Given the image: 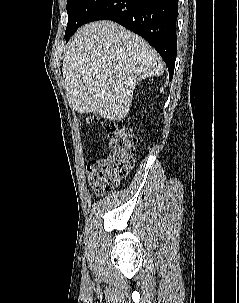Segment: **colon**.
<instances>
[{
  "label": "colon",
  "instance_id": "5ec220e1",
  "mask_svg": "<svg viewBox=\"0 0 239 303\" xmlns=\"http://www.w3.org/2000/svg\"><path fill=\"white\" fill-rule=\"evenodd\" d=\"M110 153L88 165V180L96 195L113 191L128 175L134 164L136 137L133 131L119 124L108 127Z\"/></svg>",
  "mask_w": 239,
  "mask_h": 303
}]
</instances>
